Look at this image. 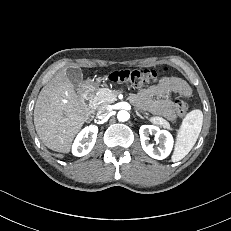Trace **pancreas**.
Listing matches in <instances>:
<instances>
[{
	"mask_svg": "<svg viewBox=\"0 0 231 231\" xmlns=\"http://www.w3.org/2000/svg\"><path fill=\"white\" fill-rule=\"evenodd\" d=\"M117 94L108 89V88H100L96 95L94 96V101L97 104H108L116 101ZM148 118V117H147ZM152 123L160 125L164 128H170V124L162 117H150L148 118Z\"/></svg>",
	"mask_w": 231,
	"mask_h": 231,
	"instance_id": "cf45deb5",
	"label": "pancreas"
}]
</instances>
